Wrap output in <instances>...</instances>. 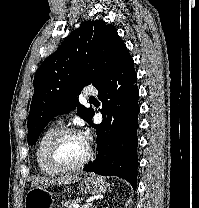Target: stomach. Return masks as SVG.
Segmentation results:
<instances>
[{
    "instance_id": "obj_1",
    "label": "stomach",
    "mask_w": 199,
    "mask_h": 208,
    "mask_svg": "<svg viewBox=\"0 0 199 208\" xmlns=\"http://www.w3.org/2000/svg\"><path fill=\"white\" fill-rule=\"evenodd\" d=\"M109 185L100 177H85L80 181L82 192L90 195L100 194L108 189ZM53 193L47 185L31 188L24 201L25 208H53Z\"/></svg>"
}]
</instances>
